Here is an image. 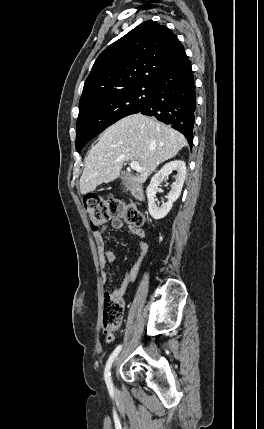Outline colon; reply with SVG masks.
Segmentation results:
<instances>
[{"mask_svg": "<svg viewBox=\"0 0 264 429\" xmlns=\"http://www.w3.org/2000/svg\"><path fill=\"white\" fill-rule=\"evenodd\" d=\"M84 207L96 234L101 233L105 224L113 217H120L137 229L144 223L142 213L133 204L119 198L105 199L99 195H89L84 199ZM124 308L125 302L121 295L105 294L102 326L108 341L113 339V334L122 324Z\"/></svg>", "mask_w": 264, "mask_h": 429, "instance_id": "obj_1", "label": "colon"}]
</instances>
